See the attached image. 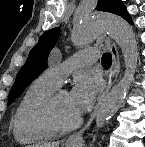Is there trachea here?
<instances>
[{"mask_svg": "<svg viewBox=\"0 0 145 147\" xmlns=\"http://www.w3.org/2000/svg\"><path fill=\"white\" fill-rule=\"evenodd\" d=\"M101 63L103 66H110L112 64V56L110 53H105L102 56Z\"/></svg>", "mask_w": 145, "mask_h": 147, "instance_id": "3493384b", "label": "trachea"}]
</instances>
